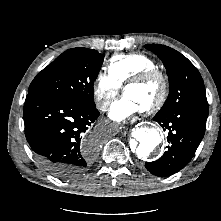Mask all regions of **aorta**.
<instances>
[{
  "label": "aorta",
  "instance_id": "1",
  "mask_svg": "<svg viewBox=\"0 0 221 221\" xmlns=\"http://www.w3.org/2000/svg\"><path fill=\"white\" fill-rule=\"evenodd\" d=\"M134 138L138 145L133 150L139 158L147 157L162 141L160 133L153 128H138L134 132Z\"/></svg>",
  "mask_w": 221,
  "mask_h": 221
}]
</instances>
